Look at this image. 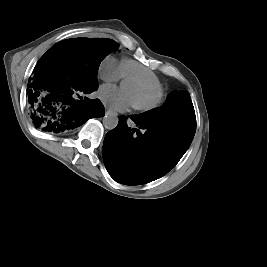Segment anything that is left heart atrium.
<instances>
[{
  "instance_id": "left-heart-atrium-1",
  "label": "left heart atrium",
  "mask_w": 267,
  "mask_h": 267,
  "mask_svg": "<svg viewBox=\"0 0 267 267\" xmlns=\"http://www.w3.org/2000/svg\"><path fill=\"white\" fill-rule=\"evenodd\" d=\"M100 98L114 111H123L133 104L130 92L112 85L100 89Z\"/></svg>"
}]
</instances>
